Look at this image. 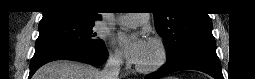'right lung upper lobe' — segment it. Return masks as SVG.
<instances>
[{"mask_svg": "<svg viewBox=\"0 0 255 79\" xmlns=\"http://www.w3.org/2000/svg\"><path fill=\"white\" fill-rule=\"evenodd\" d=\"M42 13V20L73 18L95 22L102 19L95 0H49Z\"/></svg>", "mask_w": 255, "mask_h": 79, "instance_id": "right-lung-upper-lobe-1", "label": "right lung upper lobe"}]
</instances>
